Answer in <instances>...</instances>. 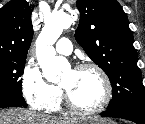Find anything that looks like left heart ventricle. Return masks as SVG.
<instances>
[{"instance_id": "b2bd125f", "label": "left heart ventricle", "mask_w": 145, "mask_h": 124, "mask_svg": "<svg viewBox=\"0 0 145 124\" xmlns=\"http://www.w3.org/2000/svg\"><path fill=\"white\" fill-rule=\"evenodd\" d=\"M59 84L68 91L75 104L82 108H93L104 97L103 81L94 70H68Z\"/></svg>"}]
</instances>
